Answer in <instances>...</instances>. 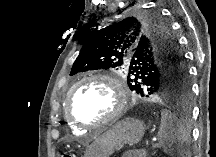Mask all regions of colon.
<instances>
[{"instance_id":"1","label":"colon","mask_w":216,"mask_h":157,"mask_svg":"<svg viewBox=\"0 0 216 157\" xmlns=\"http://www.w3.org/2000/svg\"><path fill=\"white\" fill-rule=\"evenodd\" d=\"M63 157H71V156H69V155H65V156H63Z\"/></svg>"}]
</instances>
